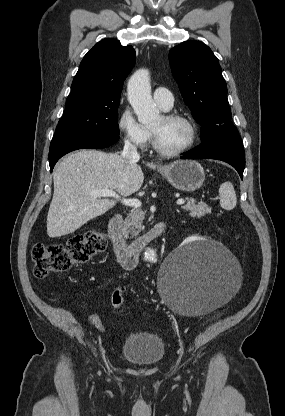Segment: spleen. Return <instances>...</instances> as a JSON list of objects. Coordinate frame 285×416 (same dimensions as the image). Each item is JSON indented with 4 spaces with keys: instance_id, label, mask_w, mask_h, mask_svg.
Here are the masks:
<instances>
[{
    "instance_id": "spleen-1",
    "label": "spleen",
    "mask_w": 285,
    "mask_h": 416,
    "mask_svg": "<svg viewBox=\"0 0 285 416\" xmlns=\"http://www.w3.org/2000/svg\"><path fill=\"white\" fill-rule=\"evenodd\" d=\"M220 206L223 210H233L237 204L235 190L231 182H224L219 188Z\"/></svg>"
}]
</instances>
